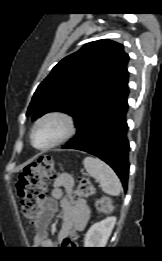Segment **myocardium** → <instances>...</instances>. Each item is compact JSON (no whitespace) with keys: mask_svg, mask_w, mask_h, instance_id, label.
<instances>
[{"mask_svg":"<svg viewBox=\"0 0 162 261\" xmlns=\"http://www.w3.org/2000/svg\"><path fill=\"white\" fill-rule=\"evenodd\" d=\"M51 120L58 121L62 125V130L60 134L49 144L41 147L36 146L34 143L35 131L40 125ZM75 130V122L72 116L61 111H51L45 113L36 120L30 132V142L35 149L39 151H47L70 139L74 135Z\"/></svg>","mask_w":162,"mask_h":261,"instance_id":"f54148a6","label":"myocardium"}]
</instances>
